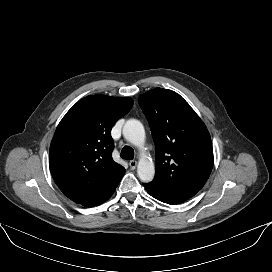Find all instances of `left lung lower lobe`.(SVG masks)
<instances>
[{
    "instance_id": "left-lung-lower-lobe-1",
    "label": "left lung lower lobe",
    "mask_w": 272,
    "mask_h": 272,
    "mask_svg": "<svg viewBox=\"0 0 272 272\" xmlns=\"http://www.w3.org/2000/svg\"><path fill=\"white\" fill-rule=\"evenodd\" d=\"M147 192L154 197L155 199L164 202V203H168L170 205H174V204H178L181 202L186 201L187 199H189V197H183V196H177V195H170V194H166V193H161L155 190H152L148 187L147 184H144Z\"/></svg>"
}]
</instances>
